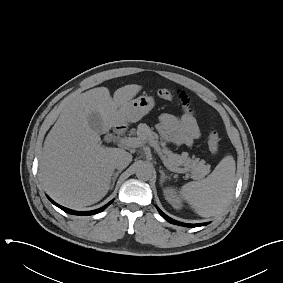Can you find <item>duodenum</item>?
Listing matches in <instances>:
<instances>
[{"label": "duodenum", "mask_w": 283, "mask_h": 283, "mask_svg": "<svg viewBox=\"0 0 283 283\" xmlns=\"http://www.w3.org/2000/svg\"><path fill=\"white\" fill-rule=\"evenodd\" d=\"M125 131V128L123 126H116L115 127V132L119 135L123 134Z\"/></svg>", "instance_id": "obj_1"}]
</instances>
